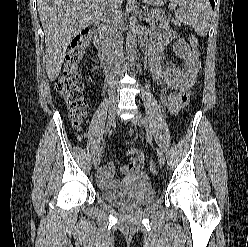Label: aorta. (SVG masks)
<instances>
[{
    "label": "aorta",
    "mask_w": 248,
    "mask_h": 247,
    "mask_svg": "<svg viewBox=\"0 0 248 247\" xmlns=\"http://www.w3.org/2000/svg\"><path fill=\"white\" fill-rule=\"evenodd\" d=\"M137 50V35H136V21L135 19H130L128 32L126 37V52L127 60L132 63L136 57Z\"/></svg>",
    "instance_id": "obj_1"
}]
</instances>
